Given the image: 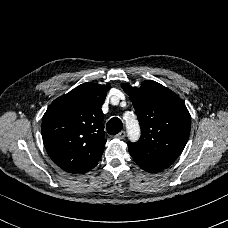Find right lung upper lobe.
Returning a JSON list of instances; mask_svg holds the SVG:
<instances>
[{
    "label": "right lung upper lobe",
    "mask_w": 228,
    "mask_h": 228,
    "mask_svg": "<svg viewBox=\"0 0 228 228\" xmlns=\"http://www.w3.org/2000/svg\"><path fill=\"white\" fill-rule=\"evenodd\" d=\"M110 85L84 83L57 98L42 118V138L50 158L64 171L84 173L105 148L101 106Z\"/></svg>",
    "instance_id": "right-lung-upper-lobe-1"
}]
</instances>
